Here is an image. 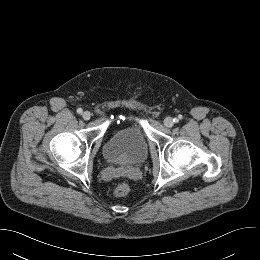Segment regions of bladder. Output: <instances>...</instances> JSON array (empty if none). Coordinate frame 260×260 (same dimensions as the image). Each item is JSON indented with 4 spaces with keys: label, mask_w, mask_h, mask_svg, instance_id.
<instances>
[{
    "label": "bladder",
    "mask_w": 260,
    "mask_h": 260,
    "mask_svg": "<svg viewBox=\"0 0 260 260\" xmlns=\"http://www.w3.org/2000/svg\"><path fill=\"white\" fill-rule=\"evenodd\" d=\"M148 153V141L144 128L133 123L112 134L105 142L102 154L110 164L127 166L143 161Z\"/></svg>",
    "instance_id": "1"
}]
</instances>
